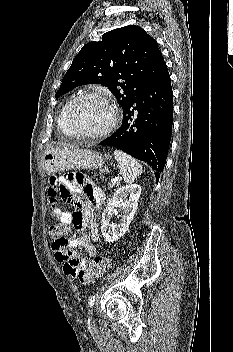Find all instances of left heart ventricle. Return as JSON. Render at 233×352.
I'll return each mask as SVG.
<instances>
[{
	"instance_id": "b2bd125f",
	"label": "left heart ventricle",
	"mask_w": 233,
	"mask_h": 352,
	"mask_svg": "<svg viewBox=\"0 0 233 352\" xmlns=\"http://www.w3.org/2000/svg\"><path fill=\"white\" fill-rule=\"evenodd\" d=\"M112 118L110 107L102 100L86 98L75 107L72 123L79 133H95L108 125Z\"/></svg>"
}]
</instances>
